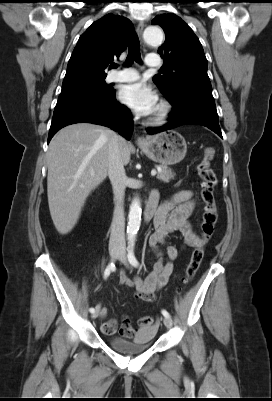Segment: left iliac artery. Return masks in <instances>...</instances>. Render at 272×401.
<instances>
[{"instance_id": "1", "label": "left iliac artery", "mask_w": 272, "mask_h": 401, "mask_svg": "<svg viewBox=\"0 0 272 401\" xmlns=\"http://www.w3.org/2000/svg\"><path fill=\"white\" fill-rule=\"evenodd\" d=\"M134 240H130V245H129V250H128V260L130 262L131 265H133L134 267H138L139 263L134 255ZM162 314L164 317H170V314L168 313V311L166 310H162Z\"/></svg>"}]
</instances>
